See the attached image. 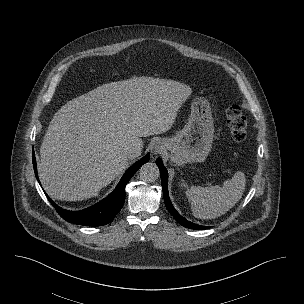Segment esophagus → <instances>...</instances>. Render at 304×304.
Returning a JSON list of instances; mask_svg holds the SVG:
<instances>
[{"label": "esophagus", "instance_id": "obj_1", "mask_svg": "<svg viewBox=\"0 0 304 304\" xmlns=\"http://www.w3.org/2000/svg\"><path fill=\"white\" fill-rule=\"evenodd\" d=\"M164 143L160 140L155 141L151 147V152L153 154H160L164 150Z\"/></svg>", "mask_w": 304, "mask_h": 304}]
</instances>
